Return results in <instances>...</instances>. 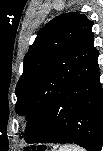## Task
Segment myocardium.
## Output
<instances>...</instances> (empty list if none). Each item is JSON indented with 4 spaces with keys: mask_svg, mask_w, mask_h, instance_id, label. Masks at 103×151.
Returning <instances> with one entry per match:
<instances>
[{
    "mask_svg": "<svg viewBox=\"0 0 103 151\" xmlns=\"http://www.w3.org/2000/svg\"><path fill=\"white\" fill-rule=\"evenodd\" d=\"M21 121L24 122V121H25V118H21Z\"/></svg>",
    "mask_w": 103,
    "mask_h": 151,
    "instance_id": "myocardium-1",
    "label": "myocardium"
}]
</instances>
